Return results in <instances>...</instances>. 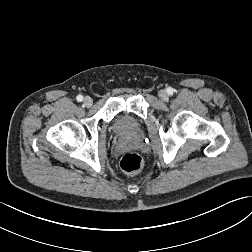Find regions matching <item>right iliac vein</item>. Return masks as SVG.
I'll list each match as a JSON object with an SVG mask.
<instances>
[{
    "label": "right iliac vein",
    "instance_id": "right-iliac-vein-1",
    "mask_svg": "<svg viewBox=\"0 0 252 252\" xmlns=\"http://www.w3.org/2000/svg\"><path fill=\"white\" fill-rule=\"evenodd\" d=\"M83 103L86 107H91L93 104L92 98L89 96H86L83 100Z\"/></svg>",
    "mask_w": 252,
    "mask_h": 252
}]
</instances>
